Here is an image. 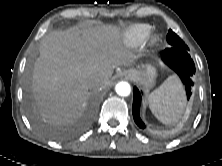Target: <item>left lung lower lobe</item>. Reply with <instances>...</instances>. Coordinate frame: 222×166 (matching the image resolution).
<instances>
[{"label": "left lung lower lobe", "instance_id": "0a47b994", "mask_svg": "<svg viewBox=\"0 0 222 166\" xmlns=\"http://www.w3.org/2000/svg\"><path fill=\"white\" fill-rule=\"evenodd\" d=\"M161 58L166 65H168L178 74L182 83L185 85L187 99L189 100L191 96V87L193 86L192 77L196 71L195 64L189 54V49L171 46L162 51ZM133 91V118L139 128L145 129L146 126L139 115L141 92L136 87H134Z\"/></svg>", "mask_w": 222, "mask_h": 166}]
</instances>
